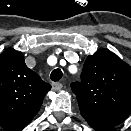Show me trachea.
I'll use <instances>...</instances> for the list:
<instances>
[{
  "label": "trachea",
  "mask_w": 131,
  "mask_h": 131,
  "mask_svg": "<svg viewBox=\"0 0 131 131\" xmlns=\"http://www.w3.org/2000/svg\"><path fill=\"white\" fill-rule=\"evenodd\" d=\"M63 76L61 69H55L51 72L50 78L52 81H59Z\"/></svg>",
  "instance_id": "trachea-1"
}]
</instances>
